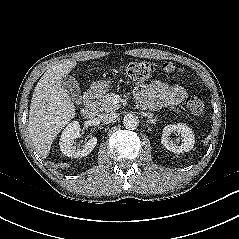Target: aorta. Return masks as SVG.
<instances>
[{"label": "aorta", "instance_id": "obj_1", "mask_svg": "<svg viewBox=\"0 0 239 239\" xmlns=\"http://www.w3.org/2000/svg\"><path fill=\"white\" fill-rule=\"evenodd\" d=\"M123 124L126 129L134 130L139 125V119L134 114H127L123 119Z\"/></svg>", "mask_w": 239, "mask_h": 239}]
</instances>
